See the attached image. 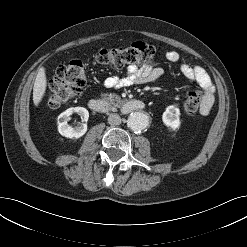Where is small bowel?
<instances>
[{"label":"small bowel","mask_w":247,"mask_h":247,"mask_svg":"<svg viewBox=\"0 0 247 247\" xmlns=\"http://www.w3.org/2000/svg\"><path fill=\"white\" fill-rule=\"evenodd\" d=\"M168 61L179 63V69L182 75L197 84L202 91V99L199 112L201 115H207L215 100V88L208 73L200 66L191 65L181 61V56L177 51H168L166 53ZM163 75V69L156 64L143 66L130 65L124 76H111L106 78L102 86L108 89H120L134 84H144L153 82Z\"/></svg>","instance_id":"c3829d8e"}]
</instances>
